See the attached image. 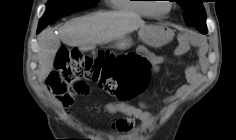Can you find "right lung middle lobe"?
Here are the masks:
<instances>
[{
    "instance_id": "dd1d6c3e",
    "label": "right lung middle lobe",
    "mask_w": 236,
    "mask_h": 140,
    "mask_svg": "<svg viewBox=\"0 0 236 140\" xmlns=\"http://www.w3.org/2000/svg\"><path fill=\"white\" fill-rule=\"evenodd\" d=\"M98 0H49L38 28L44 29L61 17L95 6Z\"/></svg>"
}]
</instances>
